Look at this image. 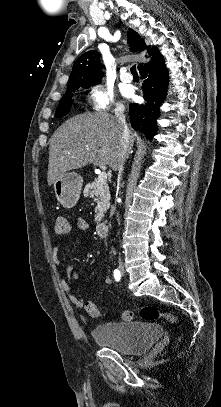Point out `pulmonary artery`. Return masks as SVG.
<instances>
[{"label": "pulmonary artery", "instance_id": "obj_1", "mask_svg": "<svg viewBox=\"0 0 221 407\" xmlns=\"http://www.w3.org/2000/svg\"><path fill=\"white\" fill-rule=\"evenodd\" d=\"M120 80H121L123 83H129V82L132 81V77H131V75H130L128 72L123 71V72H121V74H120Z\"/></svg>", "mask_w": 221, "mask_h": 407}]
</instances>
